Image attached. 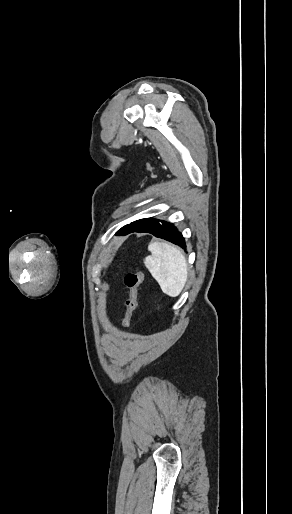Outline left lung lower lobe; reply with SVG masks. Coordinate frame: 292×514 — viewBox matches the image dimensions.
Returning <instances> with one entry per match:
<instances>
[{
    "label": "left lung lower lobe",
    "instance_id": "1",
    "mask_svg": "<svg viewBox=\"0 0 292 514\" xmlns=\"http://www.w3.org/2000/svg\"><path fill=\"white\" fill-rule=\"evenodd\" d=\"M142 232L151 233L158 238L165 239L186 249L184 237L172 223L156 220L148 229Z\"/></svg>",
    "mask_w": 292,
    "mask_h": 514
}]
</instances>
